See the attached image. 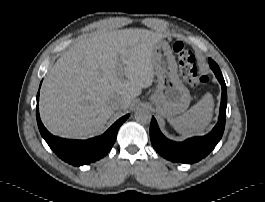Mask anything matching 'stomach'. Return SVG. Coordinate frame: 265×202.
I'll list each match as a JSON object with an SVG mask.
<instances>
[{
    "mask_svg": "<svg viewBox=\"0 0 265 202\" xmlns=\"http://www.w3.org/2000/svg\"><path fill=\"white\" fill-rule=\"evenodd\" d=\"M152 62L158 85L151 97L158 114L169 119L183 113L190 104L189 90L178 75V66L168 42L160 40L153 46Z\"/></svg>",
    "mask_w": 265,
    "mask_h": 202,
    "instance_id": "1",
    "label": "stomach"
}]
</instances>
